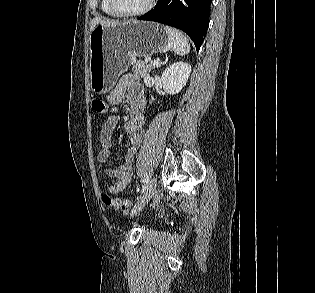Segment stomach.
<instances>
[{
    "mask_svg": "<svg viewBox=\"0 0 315 293\" xmlns=\"http://www.w3.org/2000/svg\"><path fill=\"white\" fill-rule=\"evenodd\" d=\"M164 26L153 22L126 21L97 25L89 37L90 87L95 93L110 91L133 57H149L169 48Z\"/></svg>",
    "mask_w": 315,
    "mask_h": 293,
    "instance_id": "1",
    "label": "stomach"
}]
</instances>
